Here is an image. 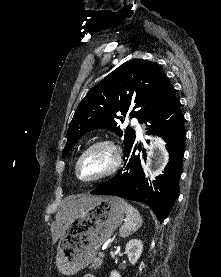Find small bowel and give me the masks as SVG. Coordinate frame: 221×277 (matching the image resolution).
Segmentation results:
<instances>
[{"mask_svg":"<svg viewBox=\"0 0 221 277\" xmlns=\"http://www.w3.org/2000/svg\"><path fill=\"white\" fill-rule=\"evenodd\" d=\"M84 277H94V276L91 275V274H87V275H85Z\"/></svg>","mask_w":221,"mask_h":277,"instance_id":"1","label":"small bowel"}]
</instances>
